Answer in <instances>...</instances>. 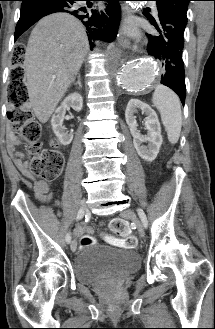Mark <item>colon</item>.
Here are the masks:
<instances>
[{
    "label": "colon",
    "mask_w": 215,
    "mask_h": 329,
    "mask_svg": "<svg viewBox=\"0 0 215 329\" xmlns=\"http://www.w3.org/2000/svg\"><path fill=\"white\" fill-rule=\"evenodd\" d=\"M16 53L19 55H14L11 62V73L14 74L8 87V103L10 106L8 117L13 128L18 132L20 141L29 147L30 173L44 180H54L62 172L63 156L55 148H43L39 142L41 127L34 120L28 108L29 96L23 82V48L17 47ZM110 229L115 235L124 239V247L134 248L136 246L137 240L134 236H129V226L125 220L121 218L112 219ZM95 242L96 240L92 236L85 235L81 238L80 245L87 247Z\"/></svg>",
    "instance_id": "1"
}]
</instances>
